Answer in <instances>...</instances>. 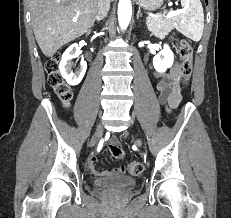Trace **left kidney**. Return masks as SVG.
Segmentation results:
<instances>
[{"label": "left kidney", "instance_id": "left-kidney-1", "mask_svg": "<svg viewBox=\"0 0 231 218\" xmlns=\"http://www.w3.org/2000/svg\"><path fill=\"white\" fill-rule=\"evenodd\" d=\"M174 55L167 44H164L163 49L153 58V66L159 73L165 72L173 65Z\"/></svg>", "mask_w": 231, "mask_h": 218}]
</instances>
